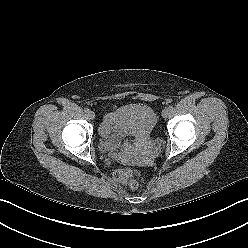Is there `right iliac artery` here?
<instances>
[{"label": "right iliac artery", "instance_id": "right-iliac-artery-1", "mask_svg": "<svg viewBox=\"0 0 248 248\" xmlns=\"http://www.w3.org/2000/svg\"><path fill=\"white\" fill-rule=\"evenodd\" d=\"M89 111H90V110H89L88 108H85V109H84V112H85V113H88Z\"/></svg>", "mask_w": 248, "mask_h": 248}]
</instances>
